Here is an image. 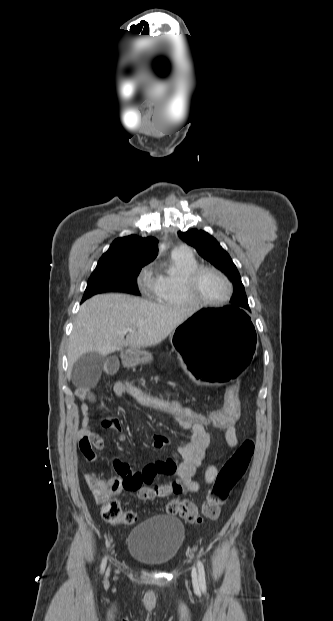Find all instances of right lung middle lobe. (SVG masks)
Instances as JSON below:
<instances>
[{"instance_id": "right-lung-middle-lobe-1", "label": "right lung middle lobe", "mask_w": 333, "mask_h": 621, "mask_svg": "<svg viewBox=\"0 0 333 621\" xmlns=\"http://www.w3.org/2000/svg\"><path fill=\"white\" fill-rule=\"evenodd\" d=\"M145 265L137 262L98 263L88 280L82 302L92 295L108 291L140 295L136 278Z\"/></svg>"}]
</instances>
